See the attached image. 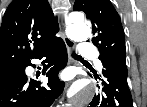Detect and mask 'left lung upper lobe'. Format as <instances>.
Segmentation results:
<instances>
[{"instance_id":"1","label":"left lung upper lobe","mask_w":147,"mask_h":107,"mask_svg":"<svg viewBox=\"0 0 147 107\" xmlns=\"http://www.w3.org/2000/svg\"><path fill=\"white\" fill-rule=\"evenodd\" d=\"M74 11H83L92 21L94 45L102 59L111 53L126 54L124 30L117 11L109 0H76Z\"/></svg>"}]
</instances>
